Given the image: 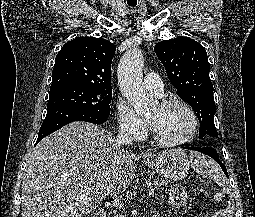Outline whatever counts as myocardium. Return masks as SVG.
<instances>
[{
	"label": "myocardium",
	"instance_id": "myocardium-1",
	"mask_svg": "<svg viewBox=\"0 0 255 217\" xmlns=\"http://www.w3.org/2000/svg\"><path fill=\"white\" fill-rule=\"evenodd\" d=\"M159 105L161 107H169L171 105H181L182 107H184L191 117V128H190V131L184 137L170 140V139H164L160 137L159 135H157L150 126V132L153 139L157 143L164 146H178V145H182L189 142L195 136L199 127V119L192 105L188 103L186 100L182 98H178V97L163 99L162 101H160Z\"/></svg>",
	"mask_w": 255,
	"mask_h": 217
}]
</instances>
